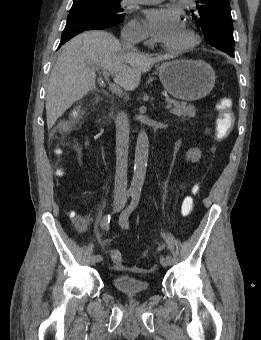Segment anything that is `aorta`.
Masks as SVG:
<instances>
[{"label":"aorta","instance_id":"aorta-1","mask_svg":"<svg viewBox=\"0 0 261 340\" xmlns=\"http://www.w3.org/2000/svg\"><path fill=\"white\" fill-rule=\"evenodd\" d=\"M149 140L145 129H141L136 142L134 172L129 188L131 195H140L147 169Z\"/></svg>","mask_w":261,"mask_h":340}]
</instances>
